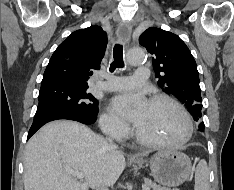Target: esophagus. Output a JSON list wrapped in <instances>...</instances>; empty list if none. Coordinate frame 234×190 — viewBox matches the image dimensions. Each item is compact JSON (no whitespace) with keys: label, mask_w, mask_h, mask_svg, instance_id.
Wrapping results in <instances>:
<instances>
[{"label":"esophagus","mask_w":234,"mask_h":190,"mask_svg":"<svg viewBox=\"0 0 234 190\" xmlns=\"http://www.w3.org/2000/svg\"><path fill=\"white\" fill-rule=\"evenodd\" d=\"M131 31V25L129 23H123L118 27L116 34L119 40L127 43L130 40Z\"/></svg>","instance_id":"obj_1"}]
</instances>
